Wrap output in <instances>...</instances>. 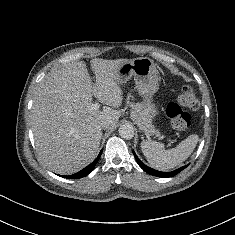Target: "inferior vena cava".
Masks as SVG:
<instances>
[{
  "mask_svg": "<svg viewBox=\"0 0 235 235\" xmlns=\"http://www.w3.org/2000/svg\"><path fill=\"white\" fill-rule=\"evenodd\" d=\"M108 127H109V124H108V122H106V121H104V122H102V123L100 124V128L106 129V128H108Z\"/></svg>",
  "mask_w": 235,
  "mask_h": 235,
  "instance_id": "1",
  "label": "inferior vena cava"
}]
</instances>
